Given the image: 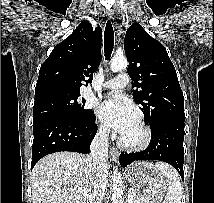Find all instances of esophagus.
I'll return each instance as SVG.
<instances>
[{"instance_id":"esophagus-1","label":"esophagus","mask_w":214,"mask_h":203,"mask_svg":"<svg viewBox=\"0 0 214 203\" xmlns=\"http://www.w3.org/2000/svg\"><path fill=\"white\" fill-rule=\"evenodd\" d=\"M106 15L110 20H114V12L111 9L107 10ZM110 155H111V158L114 162L118 161L119 151L117 149L111 148L110 149Z\"/></svg>"}]
</instances>
